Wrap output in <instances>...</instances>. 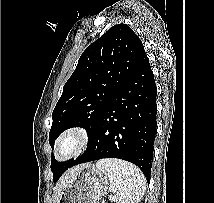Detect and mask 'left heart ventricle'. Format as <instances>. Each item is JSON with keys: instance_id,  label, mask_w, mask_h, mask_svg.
<instances>
[{"instance_id": "left-heart-ventricle-1", "label": "left heart ventricle", "mask_w": 214, "mask_h": 203, "mask_svg": "<svg viewBox=\"0 0 214 203\" xmlns=\"http://www.w3.org/2000/svg\"><path fill=\"white\" fill-rule=\"evenodd\" d=\"M72 148H73V144L71 142L67 143L62 150V154L63 155L68 154Z\"/></svg>"}]
</instances>
